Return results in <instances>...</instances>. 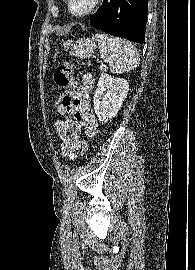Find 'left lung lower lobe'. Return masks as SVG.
<instances>
[{
  "mask_svg": "<svg viewBox=\"0 0 195 270\" xmlns=\"http://www.w3.org/2000/svg\"><path fill=\"white\" fill-rule=\"evenodd\" d=\"M147 14L148 0H103L90 23L114 36L144 43Z\"/></svg>",
  "mask_w": 195,
  "mask_h": 270,
  "instance_id": "left-lung-lower-lobe-1",
  "label": "left lung lower lobe"
}]
</instances>
